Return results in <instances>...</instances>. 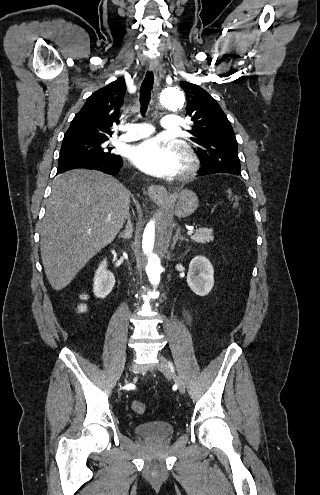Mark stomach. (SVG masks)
I'll return each instance as SVG.
<instances>
[{"mask_svg":"<svg viewBox=\"0 0 320 495\" xmlns=\"http://www.w3.org/2000/svg\"><path fill=\"white\" fill-rule=\"evenodd\" d=\"M198 204L197 195L188 189H184L176 195L171 196L169 200V207L180 218H185L193 214Z\"/></svg>","mask_w":320,"mask_h":495,"instance_id":"1","label":"stomach"}]
</instances>
